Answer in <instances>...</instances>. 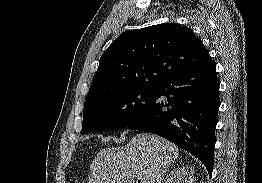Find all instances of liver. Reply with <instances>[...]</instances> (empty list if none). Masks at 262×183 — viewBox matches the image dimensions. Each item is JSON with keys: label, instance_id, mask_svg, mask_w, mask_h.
<instances>
[{"label": "liver", "instance_id": "obj_1", "mask_svg": "<svg viewBox=\"0 0 262 183\" xmlns=\"http://www.w3.org/2000/svg\"><path fill=\"white\" fill-rule=\"evenodd\" d=\"M178 147L157 135L139 133L124 147L104 148L95 156L89 183H162L178 158Z\"/></svg>", "mask_w": 262, "mask_h": 183}]
</instances>
